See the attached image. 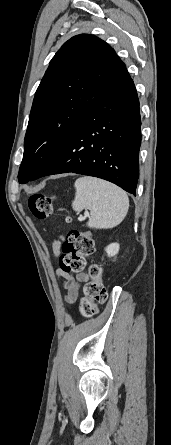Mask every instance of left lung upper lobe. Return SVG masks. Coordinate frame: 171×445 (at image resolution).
Here are the masks:
<instances>
[{
	"mask_svg": "<svg viewBox=\"0 0 171 445\" xmlns=\"http://www.w3.org/2000/svg\"><path fill=\"white\" fill-rule=\"evenodd\" d=\"M129 78L114 49L96 36L81 34L65 42L50 61L35 93L19 182L33 177L78 119Z\"/></svg>",
	"mask_w": 171,
	"mask_h": 445,
	"instance_id": "obj_1",
	"label": "left lung upper lobe"
}]
</instances>
